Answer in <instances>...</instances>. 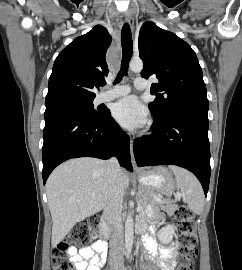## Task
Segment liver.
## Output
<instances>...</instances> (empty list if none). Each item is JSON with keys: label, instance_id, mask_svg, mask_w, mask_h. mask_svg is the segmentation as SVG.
<instances>
[{"label": "liver", "instance_id": "6515ba94", "mask_svg": "<svg viewBox=\"0 0 242 270\" xmlns=\"http://www.w3.org/2000/svg\"><path fill=\"white\" fill-rule=\"evenodd\" d=\"M121 178L126 189L130 180L126 171H121ZM109 188L108 165L97 158L72 159L51 173L46 191L53 221V247L66 237L76 223L106 206Z\"/></svg>", "mask_w": 242, "mask_h": 270}]
</instances>
